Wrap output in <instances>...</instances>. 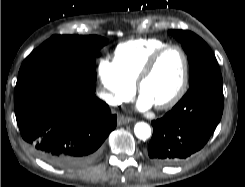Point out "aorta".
Instances as JSON below:
<instances>
[{"instance_id": "obj_1", "label": "aorta", "mask_w": 245, "mask_h": 187, "mask_svg": "<svg viewBox=\"0 0 245 187\" xmlns=\"http://www.w3.org/2000/svg\"><path fill=\"white\" fill-rule=\"evenodd\" d=\"M134 133L137 138L147 140L151 136V128L145 122H138L134 127Z\"/></svg>"}]
</instances>
